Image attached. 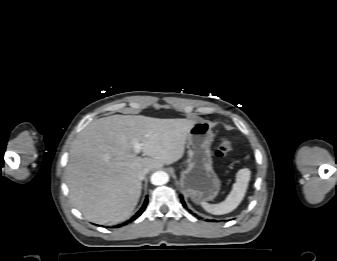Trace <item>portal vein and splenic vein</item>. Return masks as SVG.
Segmentation results:
<instances>
[{
	"label": "portal vein and splenic vein",
	"instance_id": "1",
	"mask_svg": "<svg viewBox=\"0 0 337 261\" xmlns=\"http://www.w3.org/2000/svg\"><path fill=\"white\" fill-rule=\"evenodd\" d=\"M134 153L138 154L142 150V144L138 141L133 142Z\"/></svg>",
	"mask_w": 337,
	"mask_h": 261
}]
</instances>
